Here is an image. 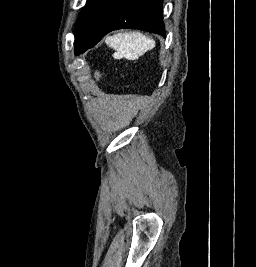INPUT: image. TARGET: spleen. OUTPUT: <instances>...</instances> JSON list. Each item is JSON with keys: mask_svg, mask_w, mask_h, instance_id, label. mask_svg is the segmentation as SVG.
<instances>
[{"mask_svg": "<svg viewBox=\"0 0 256 267\" xmlns=\"http://www.w3.org/2000/svg\"><path fill=\"white\" fill-rule=\"evenodd\" d=\"M110 48L116 50L114 56L126 58V60H138L145 52L155 48L154 40L142 34V32H120L114 36H108L105 40Z\"/></svg>", "mask_w": 256, "mask_h": 267, "instance_id": "obj_1", "label": "spleen"}]
</instances>
